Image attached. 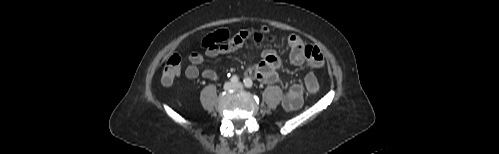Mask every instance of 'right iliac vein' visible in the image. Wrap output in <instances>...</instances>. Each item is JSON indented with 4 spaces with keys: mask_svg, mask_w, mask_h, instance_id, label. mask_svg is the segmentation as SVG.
<instances>
[{
    "mask_svg": "<svg viewBox=\"0 0 499 154\" xmlns=\"http://www.w3.org/2000/svg\"><path fill=\"white\" fill-rule=\"evenodd\" d=\"M233 87H234V85H233V83H231V82L226 83V84H225V86H224V88H225L226 90L232 89Z\"/></svg>",
    "mask_w": 499,
    "mask_h": 154,
    "instance_id": "right-iliac-vein-1",
    "label": "right iliac vein"
}]
</instances>
